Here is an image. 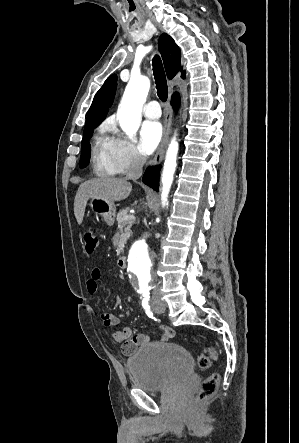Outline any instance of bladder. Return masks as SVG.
I'll list each match as a JSON object with an SVG mask.
<instances>
[{"mask_svg":"<svg viewBox=\"0 0 299 443\" xmlns=\"http://www.w3.org/2000/svg\"><path fill=\"white\" fill-rule=\"evenodd\" d=\"M193 359L176 343H153L138 349L127 361L133 384L160 391L192 376Z\"/></svg>","mask_w":299,"mask_h":443,"instance_id":"31cf9c89","label":"bladder"}]
</instances>
